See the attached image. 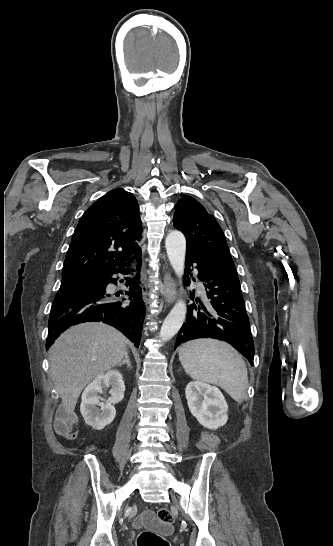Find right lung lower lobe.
Listing matches in <instances>:
<instances>
[{"instance_id": "1", "label": "right lung lower lobe", "mask_w": 333, "mask_h": 546, "mask_svg": "<svg viewBox=\"0 0 333 546\" xmlns=\"http://www.w3.org/2000/svg\"><path fill=\"white\" fill-rule=\"evenodd\" d=\"M133 261L120 268L61 284L50 311L47 349L67 328L84 322L109 324L120 330L136 347L139 346L146 309L139 281L141 254L136 257V270L126 268ZM132 271H137V275L125 278V286L129 291L122 294L126 298L117 300L106 291L109 283L117 284V279L113 277L115 273L126 275Z\"/></svg>"}]
</instances>
